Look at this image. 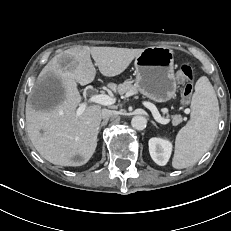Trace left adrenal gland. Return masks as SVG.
<instances>
[{
  "instance_id": "left-adrenal-gland-1",
  "label": "left adrenal gland",
  "mask_w": 231,
  "mask_h": 231,
  "mask_svg": "<svg viewBox=\"0 0 231 231\" xmlns=\"http://www.w3.org/2000/svg\"><path fill=\"white\" fill-rule=\"evenodd\" d=\"M150 122H151L154 126H156V124H155V122H154V121H152V120H151Z\"/></svg>"
}]
</instances>
